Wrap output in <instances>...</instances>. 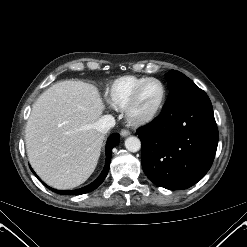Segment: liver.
<instances>
[{
  "label": "liver",
  "mask_w": 247,
  "mask_h": 247,
  "mask_svg": "<svg viewBox=\"0 0 247 247\" xmlns=\"http://www.w3.org/2000/svg\"><path fill=\"white\" fill-rule=\"evenodd\" d=\"M104 105L83 81L58 82L35 101L26 125V150L37 175L56 189H72L94 172L104 136L95 129Z\"/></svg>",
  "instance_id": "1"
}]
</instances>
